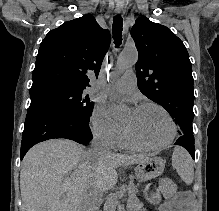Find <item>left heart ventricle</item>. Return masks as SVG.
I'll use <instances>...</instances> for the list:
<instances>
[{"label":"left heart ventricle","mask_w":219,"mask_h":211,"mask_svg":"<svg viewBox=\"0 0 219 211\" xmlns=\"http://www.w3.org/2000/svg\"><path fill=\"white\" fill-rule=\"evenodd\" d=\"M122 122L135 137L147 144H161L170 136L168 118L154 106L128 109Z\"/></svg>","instance_id":"obj_1"}]
</instances>
